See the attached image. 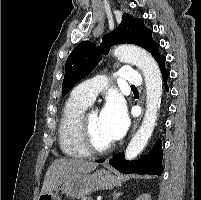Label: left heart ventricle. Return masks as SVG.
I'll use <instances>...</instances> for the list:
<instances>
[{
	"mask_svg": "<svg viewBox=\"0 0 201 200\" xmlns=\"http://www.w3.org/2000/svg\"><path fill=\"white\" fill-rule=\"evenodd\" d=\"M88 124L90 138L96 146L102 147L112 143L106 134L104 125L101 120V114L92 112L89 115Z\"/></svg>",
	"mask_w": 201,
	"mask_h": 200,
	"instance_id": "obj_1",
	"label": "left heart ventricle"
}]
</instances>
